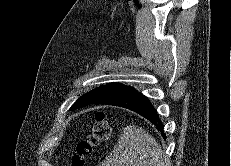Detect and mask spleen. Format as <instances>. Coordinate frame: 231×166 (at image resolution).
Instances as JSON below:
<instances>
[{
	"instance_id": "obj_1",
	"label": "spleen",
	"mask_w": 231,
	"mask_h": 166,
	"mask_svg": "<svg viewBox=\"0 0 231 166\" xmlns=\"http://www.w3.org/2000/svg\"><path fill=\"white\" fill-rule=\"evenodd\" d=\"M102 166H166L160 145L142 128L126 126Z\"/></svg>"
}]
</instances>
